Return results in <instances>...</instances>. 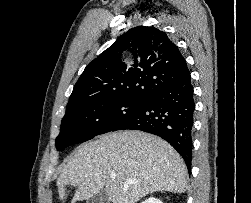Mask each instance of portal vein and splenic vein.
Wrapping results in <instances>:
<instances>
[{
    "label": "portal vein and splenic vein",
    "mask_w": 251,
    "mask_h": 203,
    "mask_svg": "<svg viewBox=\"0 0 251 203\" xmlns=\"http://www.w3.org/2000/svg\"><path fill=\"white\" fill-rule=\"evenodd\" d=\"M116 174L115 173H112L111 175H110V177L112 178V179H115L116 178Z\"/></svg>",
    "instance_id": "18ae733b"
}]
</instances>
